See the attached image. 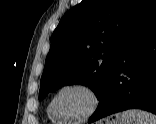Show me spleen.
<instances>
[{
	"label": "spleen",
	"mask_w": 156,
	"mask_h": 124,
	"mask_svg": "<svg viewBox=\"0 0 156 124\" xmlns=\"http://www.w3.org/2000/svg\"><path fill=\"white\" fill-rule=\"evenodd\" d=\"M122 116L133 124H156V116L146 111L130 109L122 113Z\"/></svg>",
	"instance_id": "obj_1"
}]
</instances>
